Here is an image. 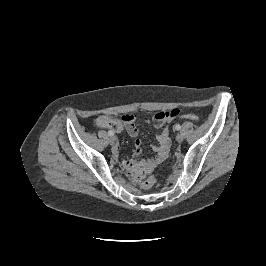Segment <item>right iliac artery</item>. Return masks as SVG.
<instances>
[{"mask_svg": "<svg viewBox=\"0 0 266 266\" xmlns=\"http://www.w3.org/2000/svg\"><path fill=\"white\" fill-rule=\"evenodd\" d=\"M108 135L113 136L114 135V132L112 130H109L108 131Z\"/></svg>", "mask_w": 266, "mask_h": 266, "instance_id": "obj_1", "label": "right iliac artery"}]
</instances>
